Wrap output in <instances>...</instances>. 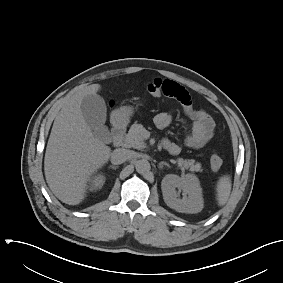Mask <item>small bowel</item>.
Segmentation results:
<instances>
[{
	"label": "small bowel",
	"instance_id": "1",
	"mask_svg": "<svg viewBox=\"0 0 283 283\" xmlns=\"http://www.w3.org/2000/svg\"><path fill=\"white\" fill-rule=\"evenodd\" d=\"M162 91V95L181 103L185 114L192 121L190 130L184 139L185 146L191 149L204 147L214 133L215 123L211 115L205 110L194 109L189 92L175 81L162 80ZM171 122L172 117L166 112H160L154 117V124L159 129L167 128ZM162 146L172 155L181 152V146L167 138L162 141Z\"/></svg>",
	"mask_w": 283,
	"mask_h": 283
}]
</instances>
